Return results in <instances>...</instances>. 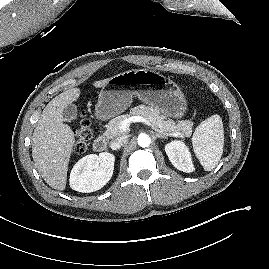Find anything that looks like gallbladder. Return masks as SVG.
I'll list each match as a JSON object with an SVG mask.
<instances>
[{"mask_svg": "<svg viewBox=\"0 0 269 269\" xmlns=\"http://www.w3.org/2000/svg\"><path fill=\"white\" fill-rule=\"evenodd\" d=\"M78 111L74 104H69L63 109L62 117L66 122H72L77 119Z\"/></svg>", "mask_w": 269, "mask_h": 269, "instance_id": "bac80fb5", "label": "gallbladder"}]
</instances>
